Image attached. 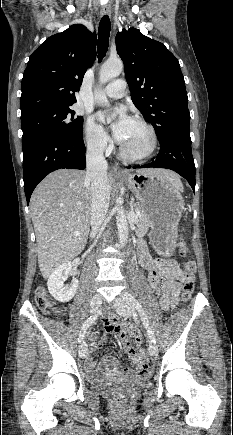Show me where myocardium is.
Masks as SVG:
<instances>
[{
  "mask_svg": "<svg viewBox=\"0 0 233 435\" xmlns=\"http://www.w3.org/2000/svg\"><path fill=\"white\" fill-rule=\"evenodd\" d=\"M132 121L143 125L147 129V131L149 132V135H150V145H149L148 149L140 155L129 154L120 145L119 146V154L124 160L129 161V162L146 161L149 158H151L156 151L157 141H158L156 131H155L154 127L148 121H146L145 119H143L141 117L136 116V117L132 118Z\"/></svg>",
  "mask_w": 233,
  "mask_h": 435,
  "instance_id": "1",
  "label": "myocardium"
}]
</instances>
